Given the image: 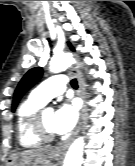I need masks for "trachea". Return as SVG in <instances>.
Returning <instances> with one entry per match:
<instances>
[{
	"mask_svg": "<svg viewBox=\"0 0 135 166\" xmlns=\"http://www.w3.org/2000/svg\"><path fill=\"white\" fill-rule=\"evenodd\" d=\"M71 86H72L73 88H75V89L78 88V84H77V80H76V79H72V80H71Z\"/></svg>",
	"mask_w": 135,
	"mask_h": 166,
	"instance_id": "trachea-1",
	"label": "trachea"
}]
</instances>
